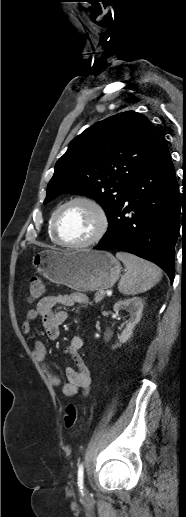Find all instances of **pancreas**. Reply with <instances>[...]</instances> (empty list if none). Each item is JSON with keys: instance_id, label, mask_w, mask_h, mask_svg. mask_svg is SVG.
Instances as JSON below:
<instances>
[{"instance_id": "obj_1", "label": "pancreas", "mask_w": 186, "mask_h": 517, "mask_svg": "<svg viewBox=\"0 0 186 517\" xmlns=\"http://www.w3.org/2000/svg\"><path fill=\"white\" fill-rule=\"evenodd\" d=\"M104 297H105V294H102L101 291H98L95 293L94 301L96 303H98V302L102 301L104 299Z\"/></svg>"}]
</instances>
